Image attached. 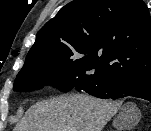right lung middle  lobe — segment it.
<instances>
[{"label":"right lung middle lobe","instance_id":"1","mask_svg":"<svg viewBox=\"0 0 151 131\" xmlns=\"http://www.w3.org/2000/svg\"><path fill=\"white\" fill-rule=\"evenodd\" d=\"M78 79L102 80L106 77L94 59L78 46H35L28 52L13 89L19 92L31 91L50 82L60 91L67 92L74 88Z\"/></svg>","mask_w":151,"mask_h":131}]
</instances>
